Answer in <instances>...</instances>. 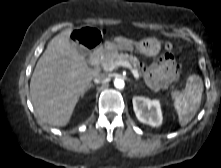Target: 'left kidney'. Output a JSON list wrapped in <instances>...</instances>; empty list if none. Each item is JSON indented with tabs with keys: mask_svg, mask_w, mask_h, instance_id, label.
Returning a JSON list of instances; mask_svg holds the SVG:
<instances>
[{
	"mask_svg": "<svg viewBox=\"0 0 221 168\" xmlns=\"http://www.w3.org/2000/svg\"><path fill=\"white\" fill-rule=\"evenodd\" d=\"M133 109L137 119L152 127H158L162 124V112L159 100L135 96L133 97Z\"/></svg>",
	"mask_w": 221,
	"mask_h": 168,
	"instance_id": "left-kidney-1",
	"label": "left kidney"
}]
</instances>
